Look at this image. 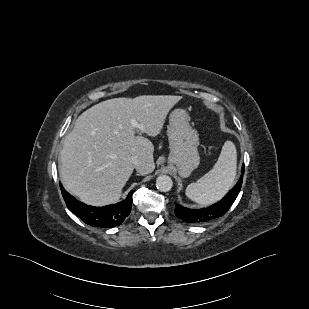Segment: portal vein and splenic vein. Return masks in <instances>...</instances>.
Segmentation results:
<instances>
[{"label":"portal vein and splenic vein","instance_id":"18ae733b","mask_svg":"<svg viewBox=\"0 0 309 309\" xmlns=\"http://www.w3.org/2000/svg\"><path fill=\"white\" fill-rule=\"evenodd\" d=\"M131 123L135 128H141V125H139L136 120H132Z\"/></svg>","mask_w":309,"mask_h":309}]
</instances>
